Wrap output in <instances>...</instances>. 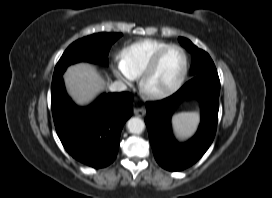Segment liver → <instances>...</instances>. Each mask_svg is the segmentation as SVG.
<instances>
[{
    "instance_id": "6515ba94",
    "label": "liver",
    "mask_w": 272,
    "mask_h": 198,
    "mask_svg": "<svg viewBox=\"0 0 272 198\" xmlns=\"http://www.w3.org/2000/svg\"><path fill=\"white\" fill-rule=\"evenodd\" d=\"M64 80L69 95L80 106L89 104L107 86L97 68L89 63L70 66Z\"/></svg>"
}]
</instances>
